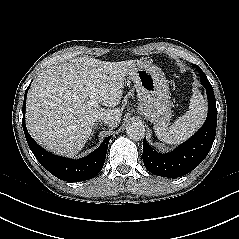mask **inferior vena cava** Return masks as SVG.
Segmentation results:
<instances>
[{
	"label": "inferior vena cava",
	"mask_w": 239,
	"mask_h": 239,
	"mask_svg": "<svg viewBox=\"0 0 239 239\" xmlns=\"http://www.w3.org/2000/svg\"><path fill=\"white\" fill-rule=\"evenodd\" d=\"M95 121H100V122H104L106 124H109L111 122V118L108 116H99L95 119Z\"/></svg>",
	"instance_id": "1"
}]
</instances>
